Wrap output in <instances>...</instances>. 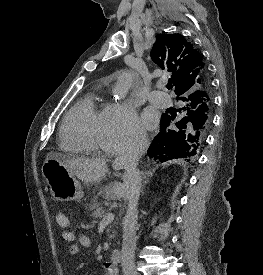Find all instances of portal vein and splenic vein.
<instances>
[{
  "label": "portal vein and splenic vein",
  "mask_w": 263,
  "mask_h": 275,
  "mask_svg": "<svg viewBox=\"0 0 263 275\" xmlns=\"http://www.w3.org/2000/svg\"><path fill=\"white\" fill-rule=\"evenodd\" d=\"M114 220V214L112 213H107L103 216L101 220V224H109Z\"/></svg>",
  "instance_id": "obj_1"
}]
</instances>
